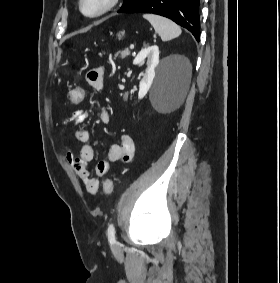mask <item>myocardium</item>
Segmentation results:
<instances>
[{
  "label": "myocardium",
  "mask_w": 280,
  "mask_h": 283,
  "mask_svg": "<svg viewBox=\"0 0 280 283\" xmlns=\"http://www.w3.org/2000/svg\"><path fill=\"white\" fill-rule=\"evenodd\" d=\"M84 1L85 0H79V10L81 14L87 18H98L112 11L118 5L120 0H104L101 8L93 13H87L84 10Z\"/></svg>",
  "instance_id": "obj_1"
}]
</instances>
